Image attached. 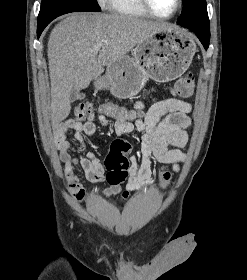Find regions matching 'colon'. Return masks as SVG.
<instances>
[{"label":"colon","mask_w":247,"mask_h":280,"mask_svg":"<svg viewBox=\"0 0 247 280\" xmlns=\"http://www.w3.org/2000/svg\"><path fill=\"white\" fill-rule=\"evenodd\" d=\"M194 80L191 73L181 77L176 82L173 93L179 97L187 98L193 94ZM96 109L90 102H83L78 104L73 111V120L85 121L92 120L95 116ZM106 115L122 121H135L139 116L134 111H129L124 107L116 104H103L98 109ZM132 154V145L128 142L117 139L114 140L110 147V152L104 160V167L106 170V180L108 181V189L110 191H117L122 183L129 175V160L127 155ZM160 180L162 184H166L170 179V173L166 170L160 172Z\"/></svg>","instance_id":"obj_1"}]
</instances>
